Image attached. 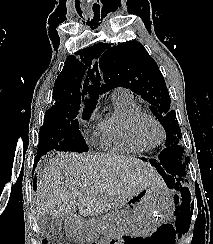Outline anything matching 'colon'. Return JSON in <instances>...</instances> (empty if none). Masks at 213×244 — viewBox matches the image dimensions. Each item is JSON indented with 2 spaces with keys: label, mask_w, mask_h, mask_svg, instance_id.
Segmentation results:
<instances>
[{
  "label": "colon",
  "mask_w": 213,
  "mask_h": 244,
  "mask_svg": "<svg viewBox=\"0 0 213 244\" xmlns=\"http://www.w3.org/2000/svg\"><path fill=\"white\" fill-rule=\"evenodd\" d=\"M42 244H49L46 239L42 241Z\"/></svg>",
  "instance_id": "5ec220e1"
}]
</instances>
